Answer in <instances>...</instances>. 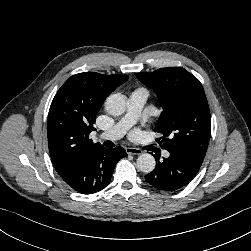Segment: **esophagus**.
Here are the masks:
<instances>
[{"mask_svg":"<svg viewBox=\"0 0 251 251\" xmlns=\"http://www.w3.org/2000/svg\"><path fill=\"white\" fill-rule=\"evenodd\" d=\"M127 154L140 155L142 154V150L134 147L126 148Z\"/></svg>","mask_w":251,"mask_h":251,"instance_id":"esophagus-1","label":"esophagus"}]
</instances>
